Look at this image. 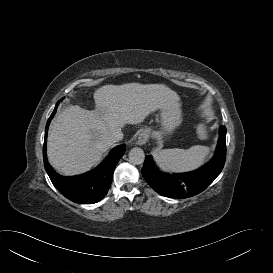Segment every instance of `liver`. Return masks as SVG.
<instances>
[{"label":"liver","instance_id":"1","mask_svg":"<svg viewBox=\"0 0 273 273\" xmlns=\"http://www.w3.org/2000/svg\"><path fill=\"white\" fill-rule=\"evenodd\" d=\"M94 100L95 110L69 106L50 128L48 160L63 174L82 173L99 162L112 145V131L140 123L157 109L180 107L178 95L164 84L105 85Z\"/></svg>","mask_w":273,"mask_h":273}]
</instances>
